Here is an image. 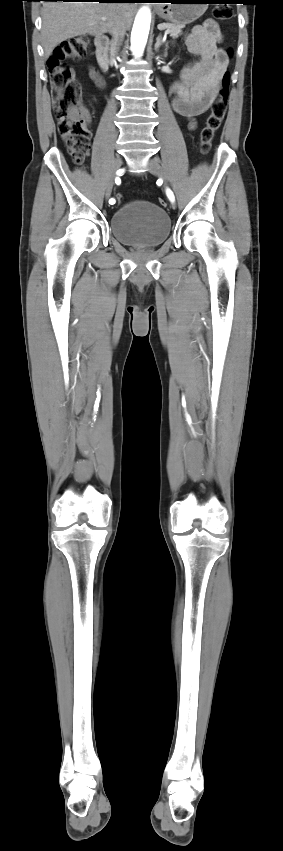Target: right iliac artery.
<instances>
[{
  "instance_id": "right-iliac-artery-1",
  "label": "right iliac artery",
  "mask_w": 283,
  "mask_h": 851,
  "mask_svg": "<svg viewBox=\"0 0 283 851\" xmlns=\"http://www.w3.org/2000/svg\"><path fill=\"white\" fill-rule=\"evenodd\" d=\"M119 179H120V178L117 176V177H116V183H117V186H121V181H119ZM109 203H110V204H114V203H115V200H114V199H110V200H109Z\"/></svg>"
}]
</instances>
